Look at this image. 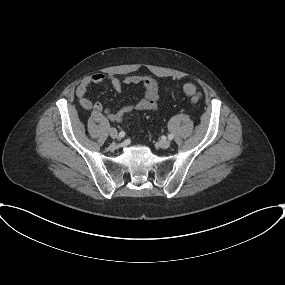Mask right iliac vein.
<instances>
[{"mask_svg": "<svg viewBox=\"0 0 285 285\" xmlns=\"http://www.w3.org/2000/svg\"><path fill=\"white\" fill-rule=\"evenodd\" d=\"M109 134H110L111 138H113V139L118 138V133H117V130L115 128H110Z\"/></svg>", "mask_w": 285, "mask_h": 285, "instance_id": "63e3f726", "label": "right iliac vein"}]
</instances>
